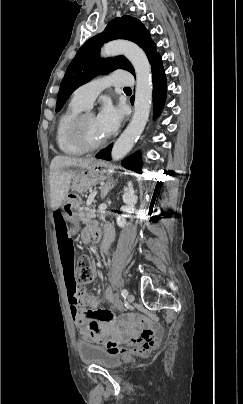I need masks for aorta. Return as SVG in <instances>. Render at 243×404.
<instances>
[{"label": "aorta", "mask_w": 243, "mask_h": 404, "mask_svg": "<svg viewBox=\"0 0 243 404\" xmlns=\"http://www.w3.org/2000/svg\"><path fill=\"white\" fill-rule=\"evenodd\" d=\"M120 54L126 56L135 70L136 92L132 120L112 148L111 156L114 162L125 158L128 152H131L135 142L139 140L148 122L153 90L151 66L145 52L139 46L128 40H114L101 48L102 58L120 56Z\"/></svg>", "instance_id": "obj_1"}]
</instances>
